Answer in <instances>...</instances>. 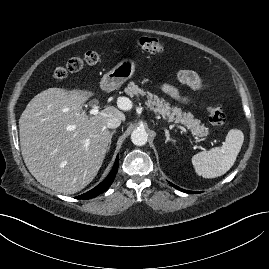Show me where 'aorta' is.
<instances>
[{
	"label": "aorta",
	"mask_w": 269,
	"mask_h": 269,
	"mask_svg": "<svg viewBox=\"0 0 269 269\" xmlns=\"http://www.w3.org/2000/svg\"><path fill=\"white\" fill-rule=\"evenodd\" d=\"M148 133L143 128H137L131 133V141L136 146H143L147 143Z\"/></svg>",
	"instance_id": "762f6f07"
}]
</instances>
